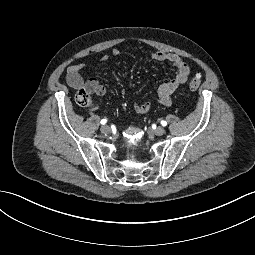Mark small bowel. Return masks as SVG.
Here are the masks:
<instances>
[{"label": "small bowel", "mask_w": 255, "mask_h": 255, "mask_svg": "<svg viewBox=\"0 0 255 255\" xmlns=\"http://www.w3.org/2000/svg\"><path fill=\"white\" fill-rule=\"evenodd\" d=\"M112 56H119L120 50L114 48L111 52ZM149 58L159 62H169L175 69L174 77L166 83L161 84L156 93L150 97L146 102L136 104L134 109L139 114L148 112L151 108L153 101H157L163 105H169L172 101V96L175 91L183 85L190 74V68L185 60L174 53H166L162 51H156L149 54ZM109 59V55H104L101 60L106 62ZM85 64L79 63L72 65L67 70L66 80L68 85L73 89H79L82 86H88L98 96L104 97L106 95V89L95 78H90L85 81L81 72L84 69Z\"/></svg>", "instance_id": "obj_1"}]
</instances>
